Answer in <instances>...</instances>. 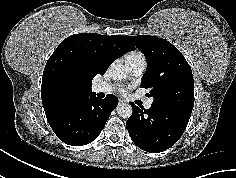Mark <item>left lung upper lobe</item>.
I'll return each mask as SVG.
<instances>
[{
  "mask_svg": "<svg viewBox=\"0 0 236 178\" xmlns=\"http://www.w3.org/2000/svg\"><path fill=\"white\" fill-rule=\"evenodd\" d=\"M146 57L147 69L142 87L153 103L192 112L194 81L191 68L181 52L165 39L155 36H127Z\"/></svg>",
  "mask_w": 236,
  "mask_h": 178,
  "instance_id": "5c2ea615",
  "label": "left lung upper lobe"
}]
</instances>
